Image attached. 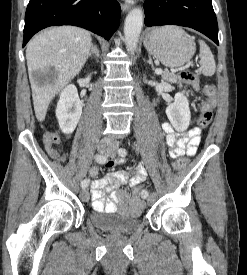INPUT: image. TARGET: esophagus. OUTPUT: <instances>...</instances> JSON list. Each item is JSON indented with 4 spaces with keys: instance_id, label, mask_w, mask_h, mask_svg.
Listing matches in <instances>:
<instances>
[{
    "instance_id": "34e87169",
    "label": "esophagus",
    "mask_w": 247,
    "mask_h": 275,
    "mask_svg": "<svg viewBox=\"0 0 247 275\" xmlns=\"http://www.w3.org/2000/svg\"><path fill=\"white\" fill-rule=\"evenodd\" d=\"M121 9H122L123 12H126V11L131 9V5L122 3L121 4Z\"/></svg>"
}]
</instances>
